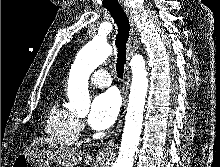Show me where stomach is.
Listing matches in <instances>:
<instances>
[{"label":"stomach","instance_id":"1","mask_svg":"<svg viewBox=\"0 0 220 167\" xmlns=\"http://www.w3.org/2000/svg\"><path fill=\"white\" fill-rule=\"evenodd\" d=\"M103 161H99L101 163ZM12 167H42L38 162L35 161L31 156L20 153L12 163Z\"/></svg>","mask_w":220,"mask_h":167}]
</instances>
